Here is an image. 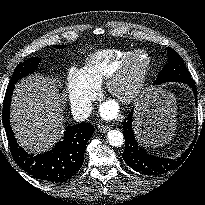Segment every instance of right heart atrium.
<instances>
[{"label":"right heart atrium","instance_id":"obj_1","mask_svg":"<svg viewBox=\"0 0 205 205\" xmlns=\"http://www.w3.org/2000/svg\"><path fill=\"white\" fill-rule=\"evenodd\" d=\"M66 91L72 110L79 113L85 110L96 97L98 87L87 82L80 70L72 67L67 76Z\"/></svg>","mask_w":205,"mask_h":205}]
</instances>
